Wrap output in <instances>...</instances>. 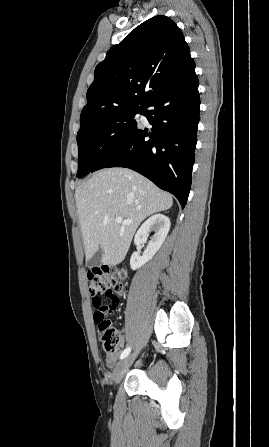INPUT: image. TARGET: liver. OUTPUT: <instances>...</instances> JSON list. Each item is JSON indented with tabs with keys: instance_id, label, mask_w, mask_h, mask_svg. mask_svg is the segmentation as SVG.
Segmentation results:
<instances>
[{
	"instance_id": "obj_1",
	"label": "liver",
	"mask_w": 269,
	"mask_h": 447,
	"mask_svg": "<svg viewBox=\"0 0 269 447\" xmlns=\"http://www.w3.org/2000/svg\"><path fill=\"white\" fill-rule=\"evenodd\" d=\"M75 198L86 261L101 247L103 265L121 263L138 225L151 214L169 210L173 204L168 192L127 168L96 172L76 188ZM119 216L132 220V224H117Z\"/></svg>"
}]
</instances>
